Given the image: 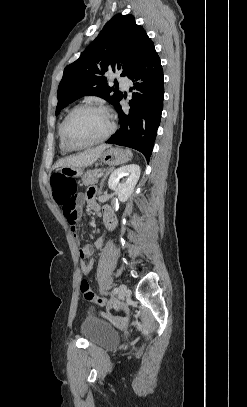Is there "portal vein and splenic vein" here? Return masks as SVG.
Here are the masks:
<instances>
[{"mask_svg":"<svg viewBox=\"0 0 247 407\" xmlns=\"http://www.w3.org/2000/svg\"><path fill=\"white\" fill-rule=\"evenodd\" d=\"M103 175V172H100L98 175H97V177L99 178V177H101Z\"/></svg>","mask_w":247,"mask_h":407,"instance_id":"1","label":"portal vein and splenic vein"}]
</instances>
